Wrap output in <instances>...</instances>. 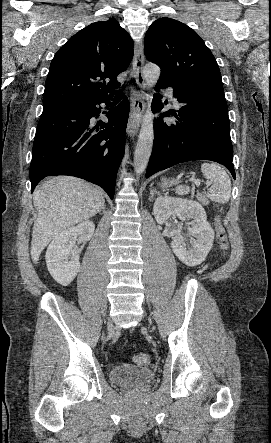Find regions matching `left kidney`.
Segmentation results:
<instances>
[{"label":"left kidney","instance_id":"obj_1","mask_svg":"<svg viewBox=\"0 0 271 443\" xmlns=\"http://www.w3.org/2000/svg\"><path fill=\"white\" fill-rule=\"evenodd\" d=\"M153 214L157 223H165L170 216H177L186 222L189 229L190 245L184 241L183 235L172 237L171 247L180 261L194 267L204 261L209 253L214 239V229L207 222L204 208L192 200H178V198H157L153 206ZM191 220V222H188Z\"/></svg>","mask_w":271,"mask_h":443}]
</instances>
